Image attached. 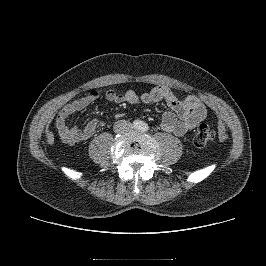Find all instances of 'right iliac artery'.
<instances>
[{
	"label": "right iliac artery",
	"mask_w": 266,
	"mask_h": 266,
	"mask_svg": "<svg viewBox=\"0 0 266 266\" xmlns=\"http://www.w3.org/2000/svg\"><path fill=\"white\" fill-rule=\"evenodd\" d=\"M141 125H142V122L140 120H135L133 122V128L135 129H140Z\"/></svg>",
	"instance_id": "right-iliac-artery-1"
}]
</instances>
